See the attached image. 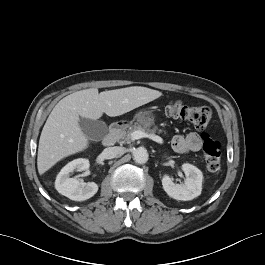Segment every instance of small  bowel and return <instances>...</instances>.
I'll use <instances>...</instances> for the list:
<instances>
[{"label":"small bowel","instance_id":"small-bowel-1","mask_svg":"<svg viewBox=\"0 0 265 265\" xmlns=\"http://www.w3.org/2000/svg\"><path fill=\"white\" fill-rule=\"evenodd\" d=\"M172 147L178 153L196 152L202 147V138L197 133L177 135L172 140Z\"/></svg>","mask_w":265,"mask_h":265}]
</instances>
